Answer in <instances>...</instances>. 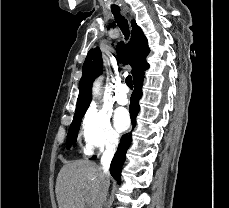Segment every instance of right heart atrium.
I'll list each match as a JSON object with an SVG mask.
<instances>
[{"label":"right heart atrium","instance_id":"d8ad5b80","mask_svg":"<svg viewBox=\"0 0 229 208\" xmlns=\"http://www.w3.org/2000/svg\"><path fill=\"white\" fill-rule=\"evenodd\" d=\"M80 135L87 153L112 148L119 143V135L111 124L110 114L102 108L90 107L86 111Z\"/></svg>","mask_w":229,"mask_h":208}]
</instances>
